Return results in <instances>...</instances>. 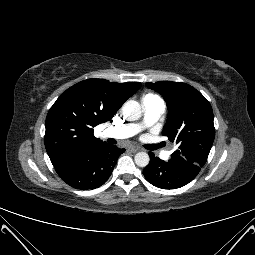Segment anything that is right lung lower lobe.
<instances>
[{
  "label": "right lung lower lobe",
  "mask_w": 255,
  "mask_h": 255,
  "mask_svg": "<svg viewBox=\"0 0 255 255\" xmlns=\"http://www.w3.org/2000/svg\"><path fill=\"white\" fill-rule=\"evenodd\" d=\"M125 149L103 143L54 165L58 175L71 187L95 189L110 177L118 157Z\"/></svg>",
  "instance_id": "right-lung-lower-lobe-1"
}]
</instances>
